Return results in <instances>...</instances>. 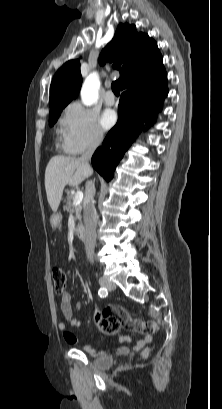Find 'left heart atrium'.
Listing matches in <instances>:
<instances>
[{
  "instance_id": "obj_1",
  "label": "left heart atrium",
  "mask_w": 222,
  "mask_h": 409,
  "mask_svg": "<svg viewBox=\"0 0 222 409\" xmlns=\"http://www.w3.org/2000/svg\"><path fill=\"white\" fill-rule=\"evenodd\" d=\"M116 119V113L113 110H106L100 119L101 126L105 130L110 129L116 123Z\"/></svg>"
}]
</instances>
